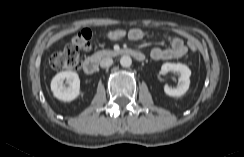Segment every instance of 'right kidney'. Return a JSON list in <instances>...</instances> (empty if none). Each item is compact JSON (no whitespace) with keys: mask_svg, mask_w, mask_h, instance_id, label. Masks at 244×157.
<instances>
[{"mask_svg":"<svg viewBox=\"0 0 244 157\" xmlns=\"http://www.w3.org/2000/svg\"><path fill=\"white\" fill-rule=\"evenodd\" d=\"M64 81L69 84L64 85ZM53 96L63 102H71L80 95V79L76 72L62 71L56 74L51 81Z\"/></svg>","mask_w":244,"mask_h":157,"instance_id":"right-kidney-1","label":"right kidney"}]
</instances>
